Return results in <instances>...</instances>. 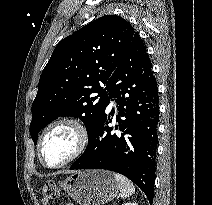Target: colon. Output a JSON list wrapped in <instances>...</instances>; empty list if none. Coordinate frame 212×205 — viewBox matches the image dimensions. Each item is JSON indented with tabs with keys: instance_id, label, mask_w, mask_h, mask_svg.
<instances>
[{
	"instance_id": "colon-1",
	"label": "colon",
	"mask_w": 212,
	"mask_h": 205,
	"mask_svg": "<svg viewBox=\"0 0 212 205\" xmlns=\"http://www.w3.org/2000/svg\"><path fill=\"white\" fill-rule=\"evenodd\" d=\"M60 195V190L55 182H47L42 189V197L45 202L54 201Z\"/></svg>"
}]
</instances>
